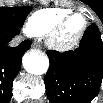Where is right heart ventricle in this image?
Wrapping results in <instances>:
<instances>
[{"mask_svg": "<svg viewBox=\"0 0 103 103\" xmlns=\"http://www.w3.org/2000/svg\"><path fill=\"white\" fill-rule=\"evenodd\" d=\"M70 12L62 7H50L37 10L27 20L25 31L31 36H43L48 33L53 24Z\"/></svg>", "mask_w": 103, "mask_h": 103, "instance_id": "e07e8e85", "label": "right heart ventricle"}]
</instances>
